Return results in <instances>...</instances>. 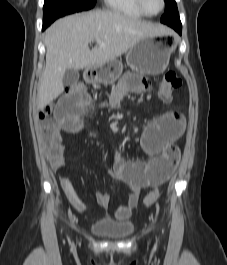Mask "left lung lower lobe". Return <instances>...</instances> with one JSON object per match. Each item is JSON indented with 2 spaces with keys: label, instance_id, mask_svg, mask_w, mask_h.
I'll return each mask as SVG.
<instances>
[{
  "label": "left lung lower lobe",
  "instance_id": "1",
  "mask_svg": "<svg viewBox=\"0 0 227 265\" xmlns=\"http://www.w3.org/2000/svg\"><path fill=\"white\" fill-rule=\"evenodd\" d=\"M170 27L174 28L179 34H181V32H182V25L181 24H171Z\"/></svg>",
  "mask_w": 227,
  "mask_h": 265
}]
</instances>
